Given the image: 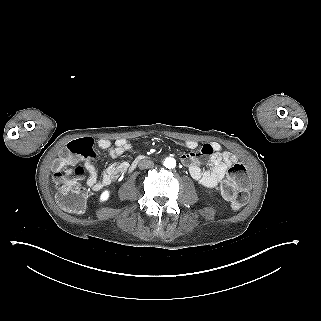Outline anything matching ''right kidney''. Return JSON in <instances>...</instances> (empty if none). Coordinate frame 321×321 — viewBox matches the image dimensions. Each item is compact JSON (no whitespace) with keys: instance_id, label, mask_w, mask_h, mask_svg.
<instances>
[{"instance_id":"1","label":"right kidney","mask_w":321,"mask_h":321,"mask_svg":"<svg viewBox=\"0 0 321 321\" xmlns=\"http://www.w3.org/2000/svg\"><path fill=\"white\" fill-rule=\"evenodd\" d=\"M111 197V191L109 189H104L98 199L99 204L106 203Z\"/></svg>"}]
</instances>
